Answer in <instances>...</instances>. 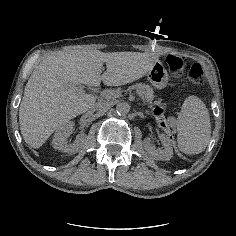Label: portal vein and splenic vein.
I'll return each instance as SVG.
<instances>
[{
    "label": "portal vein and splenic vein",
    "mask_w": 236,
    "mask_h": 236,
    "mask_svg": "<svg viewBox=\"0 0 236 236\" xmlns=\"http://www.w3.org/2000/svg\"><path fill=\"white\" fill-rule=\"evenodd\" d=\"M78 88L81 90V91H85V86L83 84H79L78 85ZM100 95L101 96H104V92H100Z\"/></svg>",
    "instance_id": "1"
}]
</instances>
